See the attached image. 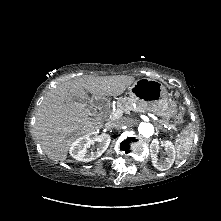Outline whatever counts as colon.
Instances as JSON below:
<instances>
[{
  "label": "colon",
  "instance_id": "colon-1",
  "mask_svg": "<svg viewBox=\"0 0 221 221\" xmlns=\"http://www.w3.org/2000/svg\"><path fill=\"white\" fill-rule=\"evenodd\" d=\"M184 120V115L183 114H179L177 117V121L178 122H182Z\"/></svg>",
  "mask_w": 221,
  "mask_h": 221
}]
</instances>
